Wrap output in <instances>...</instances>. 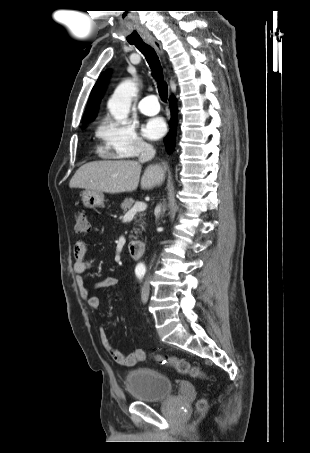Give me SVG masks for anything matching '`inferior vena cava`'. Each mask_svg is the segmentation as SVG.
Returning a JSON list of instances; mask_svg holds the SVG:
<instances>
[{"label":"inferior vena cava","instance_id":"inferior-vena-cava-1","mask_svg":"<svg viewBox=\"0 0 310 453\" xmlns=\"http://www.w3.org/2000/svg\"><path fill=\"white\" fill-rule=\"evenodd\" d=\"M155 153H156L155 149L150 144L145 143L142 146V150H141V155L139 157V161L140 162L149 161L152 158H154Z\"/></svg>","mask_w":310,"mask_h":453}]
</instances>
